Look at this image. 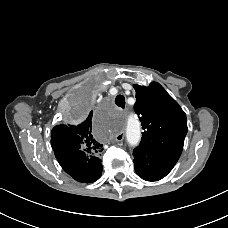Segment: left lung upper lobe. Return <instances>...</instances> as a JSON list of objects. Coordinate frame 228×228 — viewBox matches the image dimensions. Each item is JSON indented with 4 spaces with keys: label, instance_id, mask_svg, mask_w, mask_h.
<instances>
[{
    "label": "left lung upper lobe",
    "instance_id": "left-lung-upper-lobe-1",
    "mask_svg": "<svg viewBox=\"0 0 228 228\" xmlns=\"http://www.w3.org/2000/svg\"><path fill=\"white\" fill-rule=\"evenodd\" d=\"M134 89V109L144 130L137 148L180 156L188 131L185 112L159 83L135 84Z\"/></svg>",
    "mask_w": 228,
    "mask_h": 228
}]
</instances>
